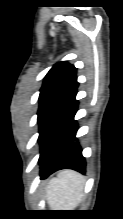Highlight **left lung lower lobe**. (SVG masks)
<instances>
[{"mask_svg":"<svg viewBox=\"0 0 123 219\" xmlns=\"http://www.w3.org/2000/svg\"><path fill=\"white\" fill-rule=\"evenodd\" d=\"M76 90L56 109L40 131L39 162L41 178L61 169H73L85 173V159L79 143L75 142L78 107Z\"/></svg>","mask_w":123,"mask_h":219,"instance_id":"obj_1","label":"left lung lower lobe"}]
</instances>
